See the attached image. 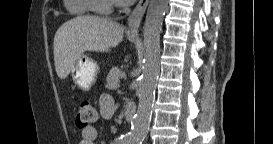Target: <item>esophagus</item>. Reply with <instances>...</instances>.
Masks as SVG:
<instances>
[{"mask_svg":"<svg viewBox=\"0 0 273 144\" xmlns=\"http://www.w3.org/2000/svg\"><path fill=\"white\" fill-rule=\"evenodd\" d=\"M149 0H140L128 18L126 33L130 36H137L142 18L146 12Z\"/></svg>","mask_w":273,"mask_h":144,"instance_id":"34e87169","label":"esophagus"}]
</instances>
